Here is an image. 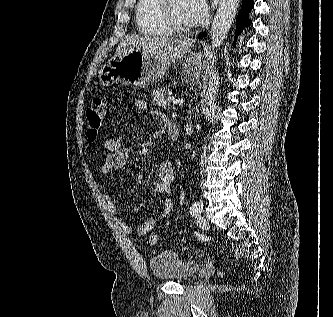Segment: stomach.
Listing matches in <instances>:
<instances>
[{
	"label": "stomach",
	"mask_w": 333,
	"mask_h": 317,
	"mask_svg": "<svg viewBox=\"0 0 333 317\" xmlns=\"http://www.w3.org/2000/svg\"><path fill=\"white\" fill-rule=\"evenodd\" d=\"M169 66V61L146 54L142 50H127L125 55L114 57L102 66L98 80L105 87L119 81L130 86H144L164 77ZM202 66L201 53H192L185 58L183 63L185 80L193 85L198 83Z\"/></svg>",
	"instance_id": "0dacf381"
}]
</instances>
